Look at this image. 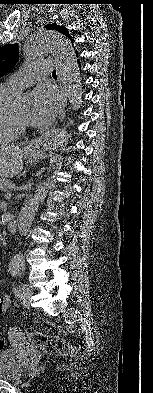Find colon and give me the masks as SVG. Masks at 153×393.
<instances>
[{"instance_id": "obj_1", "label": "colon", "mask_w": 153, "mask_h": 393, "mask_svg": "<svg viewBox=\"0 0 153 393\" xmlns=\"http://www.w3.org/2000/svg\"><path fill=\"white\" fill-rule=\"evenodd\" d=\"M0 308L2 309L5 308V304L1 301H0ZM15 330L16 329H12L13 334L17 333ZM26 337L29 345L34 346L36 348H40L46 353L51 355L73 357L77 354L76 347L70 345L60 337L45 335L38 332H28L26 333ZM5 345H6V339L0 333V351H2L5 348Z\"/></svg>"}]
</instances>
